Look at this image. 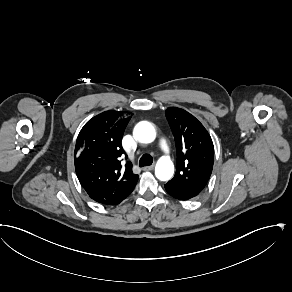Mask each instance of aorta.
Segmentation results:
<instances>
[{
  "mask_svg": "<svg viewBox=\"0 0 292 292\" xmlns=\"http://www.w3.org/2000/svg\"><path fill=\"white\" fill-rule=\"evenodd\" d=\"M134 135L142 143L154 141L156 132L151 123L147 121L139 122L134 128ZM174 174V164L168 156L161 157L155 166V175L161 181H167Z\"/></svg>",
  "mask_w": 292,
  "mask_h": 292,
  "instance_id": "obj_1",
  "label": "aorta"
}]
</instances>
